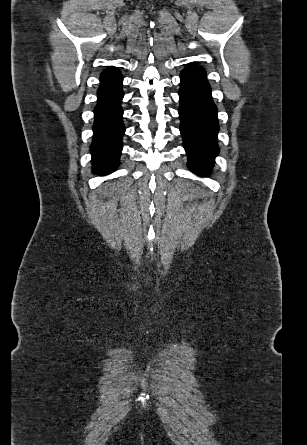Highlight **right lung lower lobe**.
I'll return each mask as SVG.
<instances>
[{
  "label": "right lung lower lobe",
  "instance_id": "1",
  "mask_svg": "<svg viewBox=\"0 0 307 445\" xmlns=\"http://www.w3.org/2000/svg\"><path fill=\"white\" fill-rule=\"evenodd\" d=\"M122 80L121 73L114 67L103 71L100 77L91 145L93 171L99 175L115 171L119 164L125 131L121 108Z\"/></svg>",
  "mask_w": 307,
  "mask_h": 445
}]
</instances>
